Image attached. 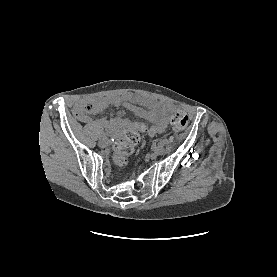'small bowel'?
Instances as JSON below:
<instances>
[{
    "label": "small bowel",
    "mask_w": 277,
    "mask_h": 277,
    "mask_svg": "<svg viewBox=\"0 0 277 277\" xmlns=\"http://www.w3.org/2000/svg\"><path fill=\"white\" fill-rule=\"evenodd\" d=\"M91 101L99 108H104L108 105L124 106L134 114L149 120L151 122L148 130L150 135H155L165 130L167 117L171 111V106L168 103L155 101L133 93H122L112 97L92 99ZM138 104L146 105L147 109ZM79 119L83 122L89 121L88 117L79 116ZM96 123L100 127L117 133L126 125L127 121L121 117H113L110 120L99 118Z\"/></svg>",
    "instance_id": "obj_1"
}]
</instances>
